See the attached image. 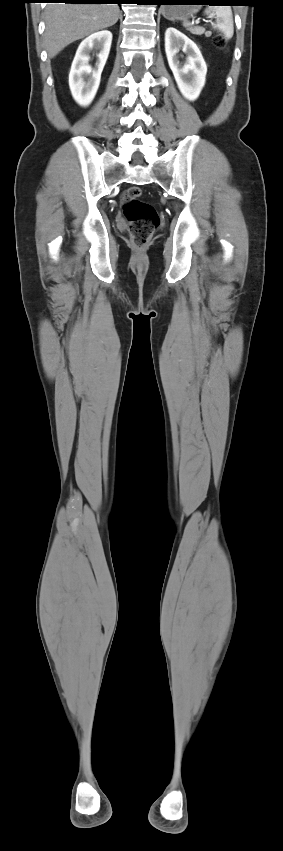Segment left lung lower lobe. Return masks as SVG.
Masks as SVG:
<instances>
[{
	"mask_svg": "<svg viewBox=\"0 0 283 851\" xmlns=\"http://www.w3.org/2000/svg\"><path fill=\"white\" fill-rule=\"evenodd\" d=\"M174 1H176V0H153V2L156 5H164V4H167V3H175ZM200 1L201 2H199V3H202V2L203 3H217V4L223 5V4H226V3L227 4L232 3L233 0H200ZM217 4H214V5H217Z\"/></svg>",
	"mask_w": 283,
	"mask_h": 851,
	"instance_id": "obj_1",
	"label": "left lung lower lobe"
}]
</instances>
